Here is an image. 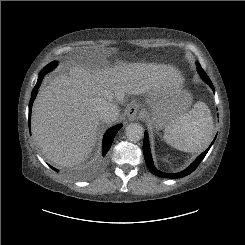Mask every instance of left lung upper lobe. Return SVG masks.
Wrapping results in <instances>:
<instances>
[{"label":"left lung upper lobe","instance_id":"1","mask_svg":"<svg viewBox=\"0 0 245 245\" xmlns=\"http://www.w3.org/2000/svg\"><path fill=\"white\" fill-rule=\"evenodd\" d=\"M197 69H198V72L200 73V75H202L203 73H205L201 67V65L197 62Z\"/></svg>","mask_w":245,"mask_h":245}]
</instances>
